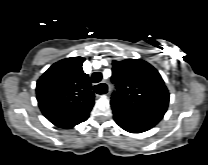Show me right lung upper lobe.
<instances>
[{"instance_id":"right-lung-upper-lobe-1","label":"right lung upper lobe","mask_w":208,"mask_h":165,"mask_svg":"<svg viewBox=\"0 0 208 165\" xmlns=\"http://www.w3.org/2000/svg\"><path fill=\"white\" fill-rule=\"evenodd\" d=\"M82 57L53 64L37 81L36 94L43 115L55 126L70 129L88 119L94 93L84 73Z\"/></svg>"}]
</instances>
